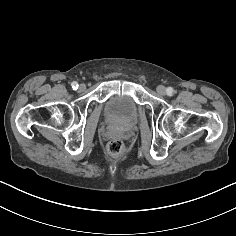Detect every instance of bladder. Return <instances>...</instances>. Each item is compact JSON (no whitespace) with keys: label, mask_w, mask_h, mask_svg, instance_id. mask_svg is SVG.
Returning <instances> with one entry per match:
<instances>
[{"label":"bladder","mask_w":236,"mask_h":236,"mask_svg":"<svg viewBox=\"0 0 236 236\" xmlns=\"http://www.w3.org/2000/svg\"><path fill=\"white\" fill-rule=\"evenodd\" d=\"M138 114V106L127 93L112 95L104 107V118L123 128L133 126L137 122Z\"/></svg>","instance_id":"1"}]
</instances>
